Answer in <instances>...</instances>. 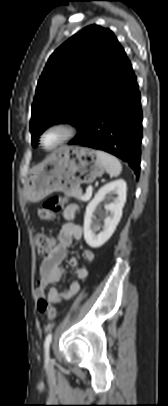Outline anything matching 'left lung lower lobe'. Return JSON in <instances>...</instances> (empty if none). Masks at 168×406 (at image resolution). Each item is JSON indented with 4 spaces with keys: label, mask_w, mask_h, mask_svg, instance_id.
Wrapping results in <instances>:
<instances>
[{
    "label": "left lung lower lobe",
    "mask_w": 168,
    "mask_h": 406,
    "mask_svg": "<svg viewBox=\"0 0 168 406\" xmlns=\"http://www.w3.org/2000/svg\"><path fill=\"white\" fill-rule=\"evenodd\" d=\"M136 76L125 52L102 89L82 131L68 144L111 153L140 168L142 111Z\"/></svg>",
    "instance_id": "1"
}]
</instances>
